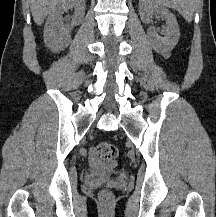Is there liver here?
I'll list each match as a JSON object with an SVG mask.
<instances>
[{
    "mask_svg": "<svg viewBox=\"0 0 216 217\" xmlns=\"http://www.w3.org/2000/svg\"><path fill=\"white\" fill-rule=\"evenodd\" d=\"M63 0H30V8L34 22L41 25L51 11Z\"/></svg>",
    "mask_w": 216,
    "mask_h": 217,
    "instance_id": "1",
    "label": "liver"
}]
</instances>
